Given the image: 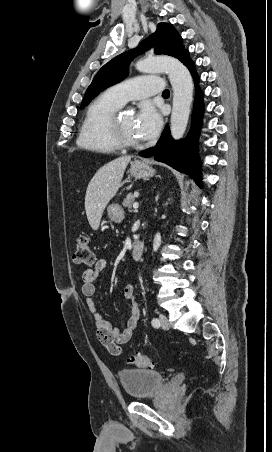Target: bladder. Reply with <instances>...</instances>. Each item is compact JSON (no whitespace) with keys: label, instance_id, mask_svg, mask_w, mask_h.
Masks as SVG:
<instances>
[{"label":"bladder","instance_id":"bladder-1","mask_svg":"<svg viewBox=\"0 0 272 452\" xmlns=\"http://www.w3.org/2000/svg\"><path fill=\"white\" fill-rule=\"evenodd\" d=\"M118 379L126 394L134 399L154 395L166 384L163 374L149 368L120 370Z\"/></svg>","mask_w":272,"mask_h":452}]
</instances>
